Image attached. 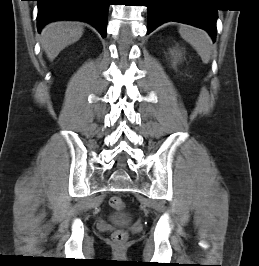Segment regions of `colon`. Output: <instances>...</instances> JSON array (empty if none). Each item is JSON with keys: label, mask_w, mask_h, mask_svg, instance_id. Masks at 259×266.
I'll use <instances>...</instances> for the list:
<instances>
[{"label": "colon", "mask_w": 259, "mask_h": 266, "mask_svg": "<svg viewBox=\"0 0 259 266\" xmlns=\"http://www.w3.org/2000/svg\"><path fill=\"white\" fill-rule=\"evenodd\" d=\"M109 204L113 209L118 211H121L125 208V203L119 196L111 197ZM113 240L118 244H123L128 240V233L124 230H118L113 234Z\"/></svg>", "instance_id": "5ec220e1"}]
</instances>
